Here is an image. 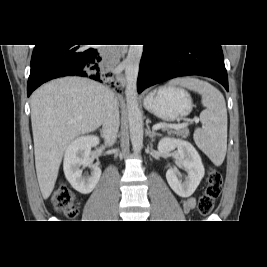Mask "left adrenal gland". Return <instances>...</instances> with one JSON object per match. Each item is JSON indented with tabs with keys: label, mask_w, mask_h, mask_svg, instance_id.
Returning a JSON list of instances; mask_svg holds the SVG:
<instances>
[{
	"label": "left adrenal gland",
	"mask_w": 267,
	"mask_h": 267,
	"mask_svg": "<svg viewBox=\"0 0 267 267\" xmlns=\"http://www.w3.org/2000/svg\"><path fill=\"white\" fill-rule=\"evenodd\" d=\"M146 135L149 136L151 139H153L156 136H161V134L157 133L154 130L150 129V126L147 124V131H146Z\"/></svg>",
	"instance_id": "1"
}]
</instances>
